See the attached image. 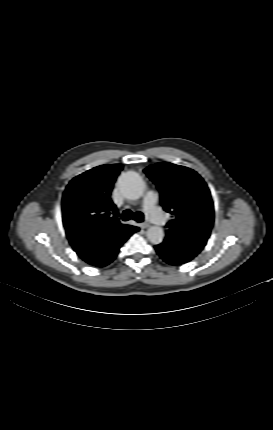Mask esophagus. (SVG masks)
<instances>
[{
    "label": "esophagus",
    "instance_id": "34e87169",
    "mask_svg": "<svg viewBox=\"0 0 273 430\" xmlns=\"http://www.w3.org/2000/svg\"><path fill=\"white\" fill-rule=\"evenodd\" d=\"M150 225H149V223H147V222H143L142 224H141V227L142 228H148Z\"/></svg>",
    "mask_w": 273,
    "mask_h": 430
}]
</instances>
